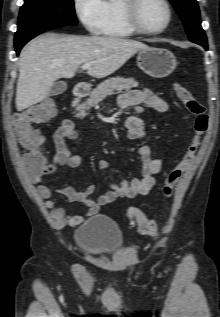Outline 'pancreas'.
I'll return each instance as SVG.
<instances>
[{
    "label": "pancreas",
    "instance_id": "obj_1",
    "mask_svg": "<svg viewBox=\"0 0 220 317\" xmlns=\"http://www.w3.org/2000/svg\"><path fill=\"white\" fill-rule=\"evenodd\" d=\"M138 82L132 78L111 77L100 83L89 95V98L76 106V117L84 118L87 111L104 100L107 96L118 94L123 91H128L131 88L137 87Z\"/></svg>",
    "mask_w": 220,
    "mask_h": 317
}]
</instances>
